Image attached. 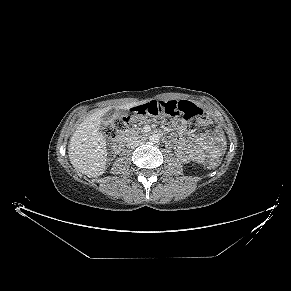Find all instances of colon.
Masks as SVG:
<instances>
[{"label":"colon","instance_id":"obj_1","mask_svg":"<svg viewBox=\"0 0 291 291\" xmlns=\"http://www.w3.org/2000/svg\"><path fill=\"white\" fill-rule=\"evenodd\" d=\"M178 115L183 116L185 119L198 118L204 124H210L208 113L190 101H151L132 108L128 113H120L114 116L107 125L106 133L110 137H115L144 116ZM219 164V160L213 159L209 160L207 165L209 168L214 169Z\"/></svg>","mask_w":291,"mask_h":291}]
</instances>
